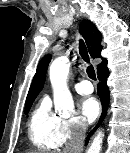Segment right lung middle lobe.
<instances>
[{
	"label": "right lung middle lobe",
	"instance_id": "1",
	"mask_svg": "<svg viewBox=\"0 0 130 153\" xmlns=\"http://www.w3.org/2000/svg\"><path fill=\"white\" fill-rule=\"evenodd\" d=\"M32 103H33V101L29 102V103H26V105H25V114H27L29 112V109H30Z\"/></svg>",
	"mask_w": 130,
	"mask_h": 153
}]
</instances>
